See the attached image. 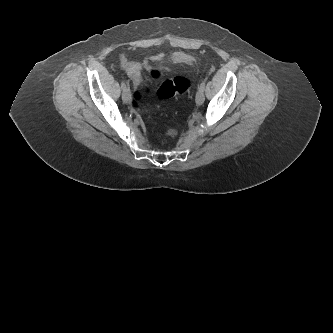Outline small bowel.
<instances>
[{
    "label": "small bowel",
    "instance_id": "small-bowel-1",
    "mask_svg": "<svg viewBox=\"0 0 333 333\" xmlns=\"http://www.w3.org/2000/svg\"><path fill=\"white\" fill-rule=\"evenodd\" d=\"M170 63H194V58L184 52H160L152 54L140 62H131L124 56L120 58V66L131 78L135 89L134 98L137 103L142 98V93L137 90L144 83L141 75L143 70L147 71V76L151 80H158L162 76V71H169Z\"/></svg>",
    "mask_w": 333,
    "mask_h": 333
}]
</instances>
